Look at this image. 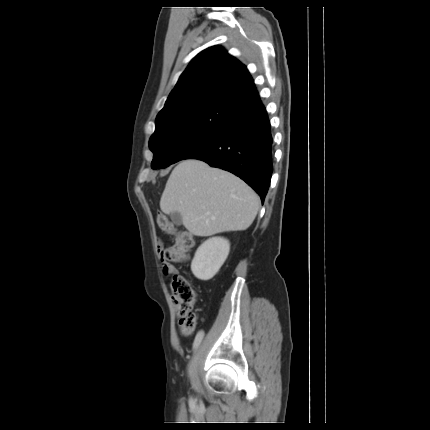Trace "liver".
Wrapping results in <instances>:
<instances>
[{
    "instance_id": "1",
    "label": "liver",
    "mask_w": 430,
    "mask_h": 430,
    "mask_svg": "<svg viewBox=\"0 0 430 430\" xmlns=\"http://www.w3.org/2000/svg\"><path fill=\"white\" fill-rule=\"evenodd\" d=\"M260 206L258 195L238 176L198 159L181 161L160 200L165 214L178 212L195 236L246 230Z\"/></svg>"
}]
</instances>
